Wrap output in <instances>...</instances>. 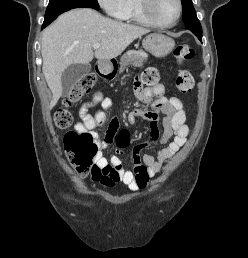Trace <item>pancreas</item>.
Returning a JSON list of instances; mask_svg holds the SVG:
<instances>
[{"label": "pancreas", "instance_id": "1", "mask_svg": "<svg viewBox=\"0 0 248 258\" xmlns=\"http://www.w3.org/2000/svg\"><path fill=\"white\" fill-rule=\"evenodd\" d=\"M147 58L148 55L143 50L129 51L125 53L120 59L119 72L122 73L128 65L141 67Z\"/></svg>", "mask_w": 248, "mask_h": 258}]
</instances>
